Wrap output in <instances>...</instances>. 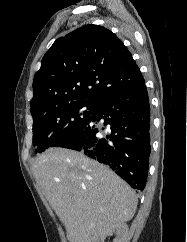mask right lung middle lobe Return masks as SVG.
<instances>
[{
    "mask_svg": "<svg viewBox=\"0 0 187 242\" xmlns=\"http://www.w3.org/2000/svg\"><path fill=\"white\" fill-rule=\"evenodd\" d=\"M97 105L72 102L33 117V145L42 153L71 134L95 111Z\"/></svg>",
    "mask_w": 187,
    "mask_h": 242,
    "instance_id": "dd1d6c3e",
    "label": "right lung middle lobe"
}]
</instances>
